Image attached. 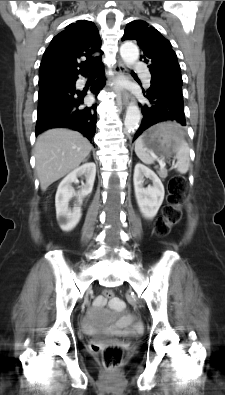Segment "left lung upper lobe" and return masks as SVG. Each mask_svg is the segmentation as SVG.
<instances>
[{
  "instance_id": "1",
  "label": "left lung upper lobe",
  "mask_w": 225,
  "mask_h": 395,
  "mask_svg": "<svg viewBox=\"0 0 225 395\" xmlns=\"http://www.w3.org/2000/svg\"><path fill=\"white\" fill-rule=\"evenodd\" d=\"M122 40H136L142 50L141 58L148 64L151 82H172L182 85L181 68L171 43L142 20L127 24Z\"/></svg>"
}]
</instances>
